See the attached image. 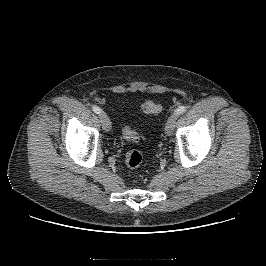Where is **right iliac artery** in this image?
<instances>
[{
  "mask_svg": "<svg viewBox=\"0 0 266 266\" xmlns=\"http://www.w3.org/2000/svg\"><path fill=\"white\" fill-rule=\"evenodd\" d=\"M92 110L96 113V114H100L102 113V110L98 107V106H93Z\"/></svg>",
  "mask_w": 266,
  "mask_h": 266,
  "instance_id": "1",
  "label": "right iliac artery"
}]
</instances>
